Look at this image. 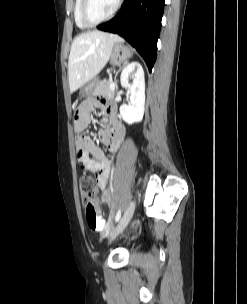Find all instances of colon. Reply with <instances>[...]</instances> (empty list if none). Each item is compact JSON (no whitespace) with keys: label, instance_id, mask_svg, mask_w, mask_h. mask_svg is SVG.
I'll return each mask as SVG.
<instances>
[{"label":"colon","instance_id":"1","mask_svg":"<svg viewBox=\"0 0 247 304\" xmlns=\"http://www.w3.org/2000/svg\"><path fill=\"white\" fill-rule=\"evenodd\" d=\"M79 190L85 207V216L88 226L94 231H105L106 225L101 218L98 205L93 200L97 191L96 182L93 177L89 175L81 176L79 180Z\"/></svg>","mask_w":247,"mask_h":304}]
</instances>
